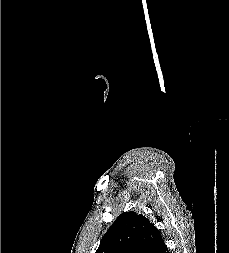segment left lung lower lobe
Here are the masks:
<instances>
[{"label": "left lung lower lobe", "mask_w": 229, "mask_h": 253, "mask_svg": "<svg viewBox=\"0 0 229 253\" xmlns=\"http://www.w3.org/2000/svg\"><path fill=\"white\" fill-rule=\"evenodd\" d=\"M155 253H169V250L164 241L158 246Z\"/></svg>", "instance_id": "0a47b994"}]
</instances>
